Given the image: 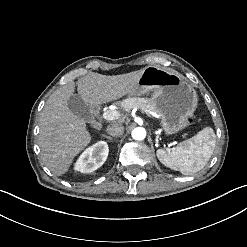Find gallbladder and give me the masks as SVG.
I'll list each match as a JSON object with an SVG mask.
<instances>
[{
	"label": "gallbladder",
	"mask_w": 247,
	"mask_h": 247,
	"mask_svg": "<svg viewBox=\"0 0 247 247\" xmlns=\"http://www.w3.org/2000/svg\"><path fill=\"white\" fill-rule=\"evenodd\" d=\"M68 108L78 117L88 120L92 117V113L80 95L73 94L68 100Z\"/></svg>",
	"instance_id": "bac80fb5"
}]
</instances>
